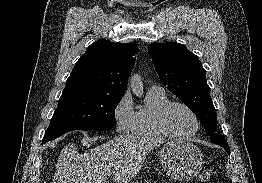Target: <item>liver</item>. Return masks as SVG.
I'll return each mask as SVG.
<instances>
[{
    "label": "liver",
    "instance_id": "6515ba94",
    "mask_svg": "<svg viewBox=\"0 0 262 183\" xmlns=\"http://www.w3.org/2000/svg\"><path fill=\"white\" fill-rule=\"evenodd\" d=\"M164 140L119 135L80 154L74 143L66 145L58 158L53 183H129L140 171L146 156Z\"/></svg>",
    "mask_w": 262,
    "mask_h": 183
}]
</instances>
